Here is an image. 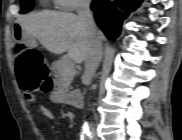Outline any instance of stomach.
<instances>
[{
    "label": "stomach",
    "mask_w": 182,
    "mask_h": 140,
    "mask_svg": "<svg viewBox=\"0 0 182 140\" xmlns=\"http://www.w3.org/2000/svg\"><path fill=\"white\" fill-rule=\"evenodd\" d=\"M10 26L14 30H25L26 26L22 22H11ZM15 41L16 44H27L29 46H35L36 40L32 36H29V31H15Z\"/></svg>",
    "instance_id": "stomach-1"
}]
</instances>
